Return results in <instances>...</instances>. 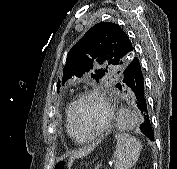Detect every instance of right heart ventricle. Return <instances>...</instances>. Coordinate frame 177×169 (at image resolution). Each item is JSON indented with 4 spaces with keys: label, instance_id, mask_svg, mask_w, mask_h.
Instances as JSON below:
<instances>
[{
    "label": "right heart ventricle",
    "instance_id": "right-heart-ventricle-1",
    "mask_svg": "<svg viewBox=\"0 0 177 169\" xmlns=\"http://www.w3.org/2000/svg\"><path fill=\"white\" fill-rule=\"evenodd\" d=\"M71 106L72 103H68V105L66 106V110H65V128H66V132L68 134V136L73 139L76 142H86V141H79L77 139V137L75 136L72 127H71V122H70V111H71Z\"/></svg>",
    "mask_w": 177,
    "mask_h": 169
}]
</instances>
